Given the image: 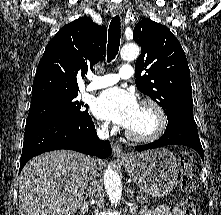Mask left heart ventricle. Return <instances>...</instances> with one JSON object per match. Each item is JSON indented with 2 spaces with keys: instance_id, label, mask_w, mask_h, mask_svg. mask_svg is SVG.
<instances>
[{
  "instance_id": "b2bd125f",
  "label": "left heart ventricle",
  "mask_w": 221,
  "mask_h": 215,
  "mask_svg": "<svg viewBox=\"0 0 221 215\" xmlns=\"http://www.w3.org/2000/svg\"><path fill=\"white\" fill-rule=\"evenodd\" d=\"M157 119L153 110L147 106H140L132 124L127 128L137 135H147L155 130Z\"/></svg>"
}]
</instances>
